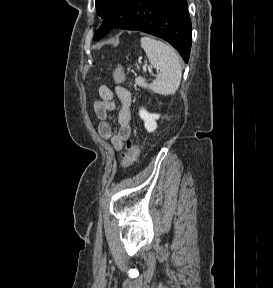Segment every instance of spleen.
I'll list each match as a JSON object with an SVG mask.
<instances>
[{
    "mask_svg": "<svg viewBox=\"0 0 273 288\" xmlns=\"http://www.w3.org/2000/svg\"><path fill=\"white\" fill-rule=\"evenodd\" d=\"M140 42L150 64L160 72L151 84H147L142 77L135 79L136 84L161 95H173L182 78V69L175 50L166 43L147 36L142 37Z\"/></svg>",
    "mask_w": 273,
    "mask_h": 288,
    "instance_id": "obj_1",
    "label": "spleen"
}]
</instances>
